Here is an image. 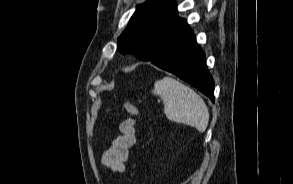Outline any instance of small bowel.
I'll use <instances>...</instances> for the list:
<instances>
[{"mask_svg":"<svg viewBox=\"0 0 293 184\" xmlns=\"http://www.w3.org/2000/svg\"><path fill=\"white\" fill-rule=\"evenodd\" d=\"M120 134L113 140L111 146L102 157V164L113 172L125 170V163L131 147L136 143V122L132 118L123 120L119 125Z\"/></svg>","mask_w":293,"mask_h":184,"instance_id":"small-bowel-1","label":"small bowel"}]
</instances>
